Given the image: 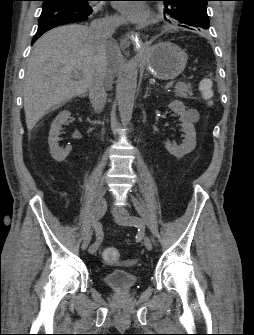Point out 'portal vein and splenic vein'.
I'll use <instances>...</instances> for the list:
<instances>
[{
	"instance_id": "18ae733b",
	"label": "portal vein and splenic vein",
	"mask_w": 254,
	"mask_h": 335,
	"mask_svg": "<svg viewBox=\"0 0 254 335\" xmlns=\"http://www.w3.org/2000/svg\"><path fill=\"white\" fill-rule=\"evenodd\" d=\"M175 81L172 80V81H169L165 86H164V89L167 90V89H170L171 87H173Z\"/></svg>"
}]
</instances>
